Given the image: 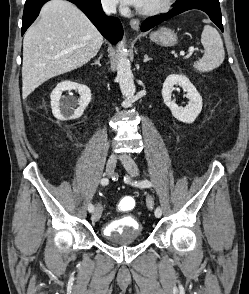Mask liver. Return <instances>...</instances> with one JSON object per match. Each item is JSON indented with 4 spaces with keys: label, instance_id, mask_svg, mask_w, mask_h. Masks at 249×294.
Here are the masks:
<instances>
[{
    "label": "liver",
    "instance_id": "1",
    "mask_svg": "<svg viewBox=\"0 0 249 294\" xmlns=\"http://www.w3.org/2000/svg\"><path fill=\"white\" fill-rule=\"evenodd\" d=\"M103 37L75 5L51 0L23 40L22 97L45 81L77 69L99 52Z\"/></svg>",
    "mask_w": 249,
    "mask_h": 294
}]
</instances>
